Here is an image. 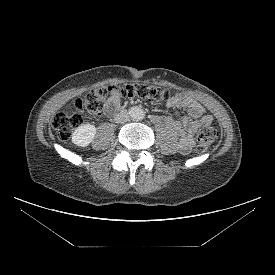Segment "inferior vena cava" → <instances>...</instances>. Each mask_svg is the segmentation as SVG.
Returning a JSON list of instances; mask_svg holds the SVG:
<instances>
[{
	"mask_svg": "<svg viewBox=\"0 0 275 275\" xmlns=\"http://www.w3.org/2000/svg\"><path fill=\"white\" fill-rule=\"evenodd\" d=\"M129 119V113L126 110H122L121 112H119L115 118L114 121L116 123H123L126 122Z\"/></svg>",
	"mask_w": 275,
	"mask_h": 275,
	"instance_id": "602c4592",
	"label": "inferior vena cava"
}]
</instances>
